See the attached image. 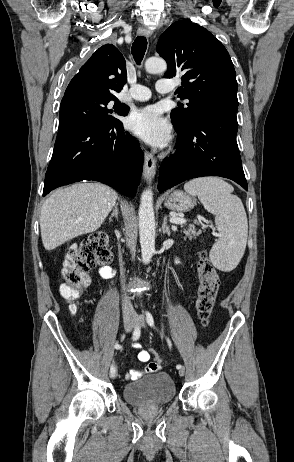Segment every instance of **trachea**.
Instances as JSON below:
<instances>
[{
	"instance_id": "3493384b",
	"label": "trachea",
	"mask_w": 294,
	"mask_h": 462,
	"mask_svg": "<svg viewBox=\"0 0 294 462\" xmlns=\"http://www.w3.org/2000/svg\"><path fill=\"white\" fill-rule=\"evenodd\" d=\"M147 48V40L144 36H138L132 45V55L137 64H140Z\"/></svg>"
}]
</instances>
